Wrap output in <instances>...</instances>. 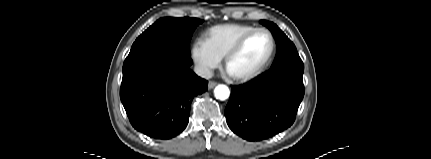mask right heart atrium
Returning <instances> with one entry per match:
<instances>
[{
  "mask_svg": "<svg viewBox=\"0 0 431 159\" xmlns=\"http://www.w3.org/2000/svg\"><path fill=\"white\" fill-rule=\"evenodd\" d=\"M190 55L198 72L203 77L211 76L219 67L222 58L210 47L206 40L198 38L190 46Z\"/></svg>",
  "mask_w": 431,
  "mask_h": 159,
  "instance_id": "right-heart-atrium-1",
  "label": "right heart atrium"
}]
</instances>
